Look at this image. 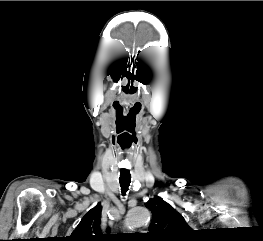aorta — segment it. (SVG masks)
Segmentation results:
<instances>
[{
    "mask_svg": "<svg viewBox=\"0 0 263 241\" xmlns=\"http://www.w3.org/2000/svg\"><path fill=\"white\" fill-rule=\"evenodd\" d=\"M150 220V212L144 207H134L132 208L126 217V227L129 229H134L140 227Z\"/></svg>",
    "mask_w": 263,
    "mask_h": 241,
    "instance_id": "obj_1",
    "label": "aorta"
}]
</instances>
